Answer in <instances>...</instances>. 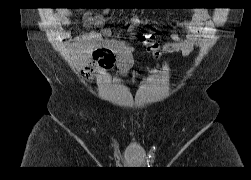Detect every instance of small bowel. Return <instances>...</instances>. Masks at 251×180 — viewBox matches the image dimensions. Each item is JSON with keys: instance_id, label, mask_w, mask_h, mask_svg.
<instances>
[{"instance_id": "1", "label": "small bowel", "mask_w": 251, "mask_h": 180, "mask_svg": "<svg viewBox=\"0 0 251 180\" xmlns=\"http://www.w3.org/2000/svg\"><path fill=\"white\" fill-rule=\"evenodd\" d=\"M54 24L68 25L71 22V11L61 9L54 15ZM86 23L101 26L103 24L102 15H88ZM209 24V15L204 9H194L191 11L190 19L180 24L186 31L185 35L172 33L170 39L163 44V50L167 53L178 52L183 56H188L202 43V38L206 27ZM62 39L69 43V47L76 54L89 52L94 60V65L86 68L85 73L88 78L98 71H108L117 64L119 71L125 74L132 65L133 48L126 42L112 38L111 31L103 28L99 31H91L79 37L72 38L68 31H61Z\"/></svg>"}]
</instances>
